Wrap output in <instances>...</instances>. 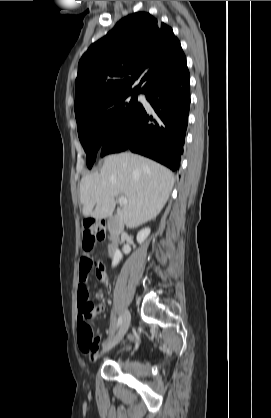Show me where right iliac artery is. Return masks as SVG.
<instances>
[{
    "label": "right iliac artery",
    "mask_w": 271,
    "mask_h": 418,
    "mask_svg": "<svg viewBox=\"0 0 271 418\" xmlns=\"http://www.w3.org/2000/svg\"><path fill=\"white\" fill-rule=\"evenodd\" d=\"M122 321H123V317L122 316H120L119 318H118V321H117V328L122 324Z\"/></svg>",
    "instance_id": "82829eb1"
}]
</instances>
